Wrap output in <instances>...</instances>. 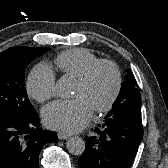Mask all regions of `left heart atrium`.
<instances>
[{
  "label": "left heart atrium",
  "instance_id": "39dd6f15",
  "mask_svg": "<svg viewBox=\"0 0 168 168\" xmlns=\"http://www.w3.org/2000/svg\"><path fill=\"white\" fill-rule=\"evenodd\" d=\"M93 109L86 99L58 100L43 110V122L51 129L62 132H77L89 124Z\"/></svg>",
  "mask_w": 168,
  "mask_h": 168
}]
</instances>
